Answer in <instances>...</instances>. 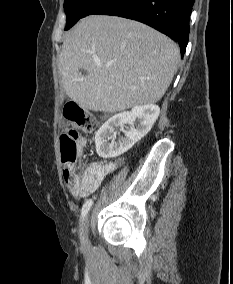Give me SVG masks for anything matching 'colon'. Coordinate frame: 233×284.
I'll return each instance as SVG.
<instances>
[{
	"mask_svg": "<svg viewBox=\"0 0 233 284\" xmlns=\"http://www.w3.org/2000/svg\"><path fill=\"white\" fill-rule=\"evenodd\" d=\"M64 115L86 133L95 131L99 123L96 114L85 110L74 101L65 105ZM82 144L83 139L75 129L69 130L60 137L61 159L64 165L63 176L68 189L76 195H86L94 189L93 178L77 164Z\"/></svg>",
	"mask_w": 233,
	"mask_h": 284,
	"instance_id": "1",
	"label": "colon"
}]
</instances>
